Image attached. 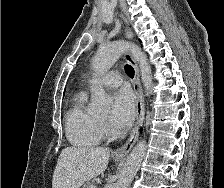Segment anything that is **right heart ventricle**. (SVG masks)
Returning <instances> with one entry per match:
<instances>
[{"instance_id":"e07e8e85","label":"right heart ventricle","mask_w":224,"mask_h":188,"mask_svg":"<svg viewBox=\"0 0 224 188\" xmlns=\"http://www.w3.org/2000/svg\"><path fill=\"white\" fill-rule=\"evenodd\" d=\"M69 142L76 147H93L100 143L102 131L98 117L86 107V94L79 93L65 118Z\"/></svg>"}]
</instances>
